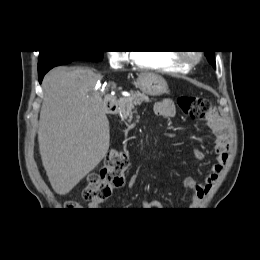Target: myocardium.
<instances>
[{"instance_id": "1", "label": "myocardium", "mask_w": 260, "mask_h": 260, "mask_svg": "<svg viewBox=\"0 0 260 260\" xmlns=\"http://www.w3.org/2000/svg\"><path fill=\"white\" fill-rule=\"evenodd\" d=\"M176 58L180 63L190 66L200 60L201 54L198 52H180L176 55Z\"/></svg>"}]
</instances>
